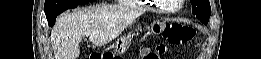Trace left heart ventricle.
Instances as JSON below:
<instances>
[{"instance_id": "left-heart-ventricle-1", "label": "left heart ventricle", "mask_w": 261, "mask_h": 59, "mask_svg": "<svg viewBox=\"0 0 261 59\" xmlns=\"http://www.w3.org/2000/svg\"><path fill=\"white\" fill-rule=\"evenodd\" d=\"M163 3H165V5L169 8H175V7H177L179 1L178 0H166V1H163Z\"/></svg>"}]
</instances>
